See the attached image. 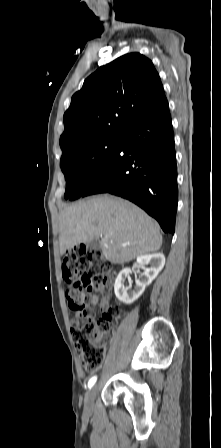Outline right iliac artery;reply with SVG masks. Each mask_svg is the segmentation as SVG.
<instances>
[{
	"instance_id": "1",
	"label": "right iliac artery",
	"mask_w": 221,
	"mask_h": 448,
	"mask_svg": "<svg viewBox=\"0 0 221 448\" xmlns=\"http://www.w3.org/2000/svg\"><path fill=\"white\" fill-rule=\"evenodd\" d=\"M96 380L97 376H93L88 382V387L91 388L95 384Z\"/></svg>"
}]
</instances>
